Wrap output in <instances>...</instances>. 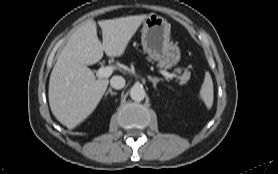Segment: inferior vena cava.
<instances>
[{"mask_svg": "<svg viewBox=\"0 0 278 174\" xmlns=\"http://www.w3.org/2000/svg\"><path fill=\"white\" fill-rule=\"evenodd\" d=\"M125 83V79L122 76H113L110 80V84L114 89H122Z\"/></svg>", "mask_w": 278, "mask_h": 174, "instance_id": "obj_1", "label": "inferior vena cava"}]
</instances>
